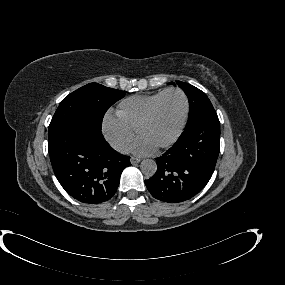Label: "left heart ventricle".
<instances>
[{
	"label": "left heart ventricle",
	"instance_id": "obj_1",
	"mask_svg": "<svg viewBox=\"0 0 285 285\" xmlns=\"http://www.w3.org/2000/svg\"><path fill=\"white\" fill-rule=\"evenodd\" d=\"M185 111L181 94L172 92L161 101L153 119L142 130L140 137L159 147L170 141L177 132Z\"/></svg>",
	"mask_w": 285,
	"mask_h": 285
}]
</instances>
